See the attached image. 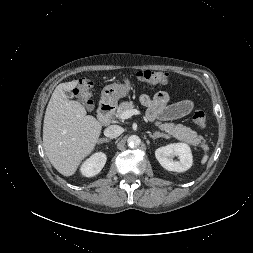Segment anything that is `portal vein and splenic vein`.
Returning <instances> with one entry per match:
<instances>
[{
	"label": "portal vein and splenic vein",
	"instance_id": "18ae733b",
	"mask_svg": "<svg viewBox=\"0 0 253 253\" xmlns=\"http://www.w3.org/2000/svg\"><path fill=\"white\" fill-rule=\"evenodd\" d=\"M138 114H140V111L137 110V109L127 110V111H124L120 115V119L125 120V119H128V118L132 117L133 115H138Z\"/></svg>",
	"mask_w": 253,
	"mask_h": 253
}]
</instances>
